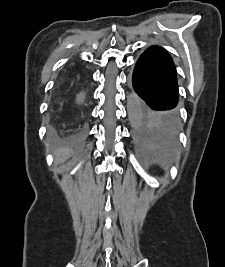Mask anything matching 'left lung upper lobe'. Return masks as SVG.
Returning a JSON list of instances; mask_svg holds the SVG:
<instances>
[{"mask_svg":"<svg viewBox=\"0 0 225 267\" xmlns=\"http://www.w3.org/2000/svg\"><path fill=\"white\" fill-rule=\"evenodd\" d=\"M138 126L139 131L142 134H157L166 137H173L177 133L172 126L153 119L149 110L142 104L140 107Z\"/></svg>","mask_w":225,"mask_h":267,"instance_id":"obj_1","label":"left lung upper lobe"}]
</instances>
